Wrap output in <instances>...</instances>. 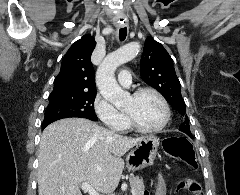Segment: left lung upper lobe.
<instances>
[{
  "label": "left lung upper lobe",
  "mask_w": 240,
  "mask_h": 195,
  "mask_svg": "<svg viewBox=\"0 0 240 195\" xmlns=\"http://www.w3.org/2000/svg\"><path fill=\"white\" fill-rule=\"evenodd\" d=\"M140 73L144 82L159 91L167 102L185 117L179 130L192 136L185 102L181 95V85L173 67V61L165 48L152 38L145 41L140 61Z\"/></svg>",
  "instance_id": "5c2ea615"
}]
</instances>
